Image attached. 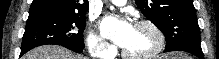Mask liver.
Listing matches in <instances>:
<instances>
[{"mask_svg": "<svg viewBox=\"0 0 219 59\" xmlns=\"http://www.w3.org/2000/svg\"><path fill=\"white\" fill-rule=\"evenodd\" d=\"M22 59H87L77 55L64 47L56 45H45L27 52Z\"/></svg>", "mask_w": 219, "mask_h": 59, "instance_id": "6515ba94", "label": "liver"}]
</instances>
